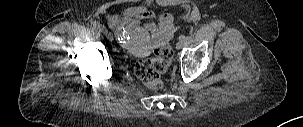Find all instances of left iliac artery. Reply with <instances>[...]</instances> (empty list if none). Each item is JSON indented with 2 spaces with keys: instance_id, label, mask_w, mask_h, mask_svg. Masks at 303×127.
<instances>
[{
  "instance_id": "left-iliac-artery-1",
  "label": "left iliac artery",
  "mask_w": 303,
  "mask_h": 127,
  "mask_svg": "<svg viewBox=\"0 0 303 127\" xmlns=\"http://www.w3.org/2000/svg\"><path fill=\"white\" fill-rule=\"evenodd\" d=\"M184 37H185V39H186V41L188 42V43H191L192 42V37H191V35H189V34H185V35H183Z\"/></svg>"
}]
</instances>
